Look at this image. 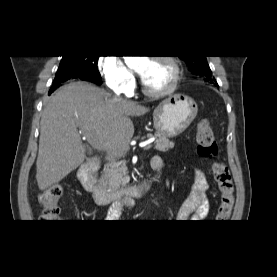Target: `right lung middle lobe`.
Returning a JSON list of instances; mask_svg holds the SVG:
<instances>
[{"label": "right lung middle lobe", "instance_id": "right-lung-middle-lobe-1", "mask_svg": "<svg viewBox=\"0 0 277 277\" xmlns=\"http://www.w3.org/2000/svg\"><path fill=\"white\" fill-rule=\"evenodd\" d=\"M99 56H62L57 74H76L87 77L96 83L100 81V73L97 69Z\"/></svg>", "mask_w": 277, "mask_h": 277}]
</instances>
